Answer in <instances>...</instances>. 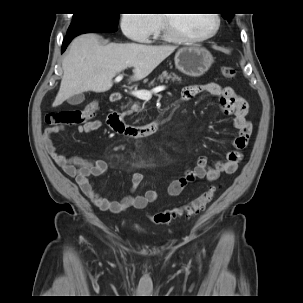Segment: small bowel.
<instances>
[{
  "label": "small bowel",
  "instance_id": "c3829d8e",
  "mask_svg": "<svg viewBox=\"0 0 303 303\" xmlns=\"http://www.w3.org/2000/svg\"><path fill=\"white\" fill-rule=\"evenodd\" d=\"M210 94L219 99L221 110L224 114H234V127L238 130L237 136L233 139L235 150L227 153L224 161H216L209 166L204 157H199L194 167L188 169L181 177L171 181L168 185L170 196H179L184 189L195 179H207L216 181L221 174H233L236 172L242 160V150L248 146L252 133V124L246 119V103L238 96L231 87H222L217 83L193 84L185 86L181 92V102L189 101L200 94ZM111 128L113 125L110 123ZM104 127L100 120H91L77 126V132L89 133ZM64 126H56L44 129L43 139L47 152L53 161L68 176L75 177L82 192L103 211L119 213L128 209H144L148 204L158 199V193L148 190L144 195H129L121 201H111L98 194L91 176H98L106 172L108 164L105 160L85 159L80 156L67 158L58 152L52 142V136L64 130ZM141 173H134L131 176V190L135 191L142 183Z\"/></svg>",
  "mask_w": 303,
  "mask_h": 303
}]
</instances>
